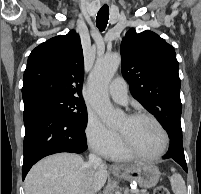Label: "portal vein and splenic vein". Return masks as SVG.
<instances>
[{
  "label": "portal vein and splenic vein",
  "instance_id": "18ae733b",
  "mask_svg": "<svg viewBox=\"0 0 201 194\" xmlns=\"http://www.w3.org/2000/svg\"><path fill=\"white\" fill-rule=\"evenodd\" d=\"M131 192H138V190H131Z\"/></svg>",
  "mask_w": 201,
  "mask_h": 194
}]
</instances>
